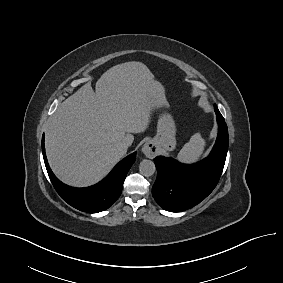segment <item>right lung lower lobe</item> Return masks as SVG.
Listing matches in <instances>:
<instances>
[{
    "mask_svg": "<svg viewBox=\"0 0 283 283\" xmlns=\"http://www.w3.org/2000/svg\"><path fill=\"white\" fill-rule=\"evenodd\" d=\"M42 152L49 178L57 193L69 205L88 213L104 211L118 199L126 175L136 159V152H134L120 161L101 182L87 188H74L63 184L51 171L45 154L44 135Z\"/></svg>",
    "mask_w": 283,
    "mask_h": 283,
    "instance_id": "98d812e1",
    "label": "right lung lower lobe"
}]
</instances>
